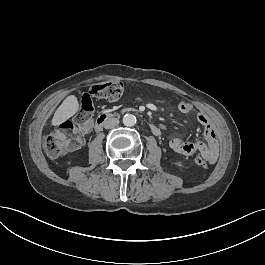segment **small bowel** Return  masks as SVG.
Returning a JSON list of instances; mask_svg holds the SVG:
<instances>
[{
    "label": "small bowel",
    "mask_w": 265,
    "mask_h": 265,
    "mask_svg": "<svg viewBox=\"0 0 265 265\" xmlns=\"http://www.w3.org/2000/svg\"><path fill=\"white\" fill-rule=\"evenodd\" d=\"M177 107L183 114H192L194 111L192 104L184 100L180 101ZM195 119L204 129L206 143L202 141L185 142L180 138H172L169 146L174 152L186 156L199 153L205 158L207 163L213 164L218 158V146L213 126L210 120L202 113H196Z\"/></svg>",
    "instance_id": "1"
}]
</instances>
